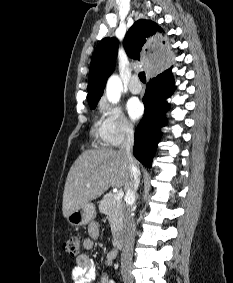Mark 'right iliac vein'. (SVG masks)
<instances>
[{"instance_id": "obj_1", "label": "right iliac vein", "mask_w": 233, "mask_h": 283, "mask_svg": "<svg viewBox=\"0 0 233 283\" xmlns=\"http://www.w3.org/2000/svg\"><path fill=\"white\" fill-rule=\"evenodd\" d=\"M123 280L124 283H134L133 278L128 273L123 274Z\"/></svg>"}]
</instances>
